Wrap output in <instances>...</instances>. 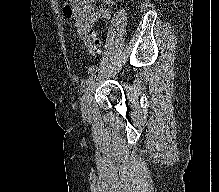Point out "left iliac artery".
<instances>
[{"label": "left iliac artery", "mask_w": 219, "mask_h": 192, "mask_svg": "<svg viewBox=\"0 0 219 192\" xmlns=\"http://www.w3.org/2000/svg\"><path fill=\"white\" fill-rule=\"evenodd\" d=\"M95 78H96V74H95V73L91 74V75L85 80L84 85H85L86 87L90 86V85L94 82Z\"/></svg>", "instance_id": "1"}]
</instances>
